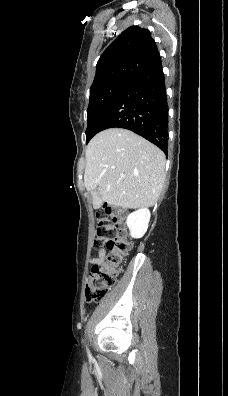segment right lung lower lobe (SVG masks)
<instances>
[{
	"instance_id": "1",
	"label": "right lung lower lobe",
	"mask_w": 228,
	"mask_h": 396,
	"mask_svg": "<svg viewBox=\"0 0 228 396\" xmlns=\"http://www.w3.org/2000/svg\"><path fill=\"white\" fill-rule=\"evenodd\" d=\"M129 129L167 154L168 109L160 56L121 92L96 125Z\"/></svg>"
}]
</instances>
